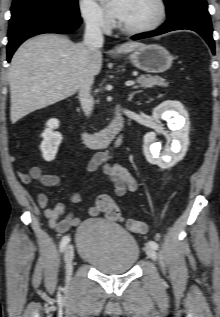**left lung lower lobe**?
Returning <instances> with one entry per match:
<instances>
[{
    "label": "left lung lower lobe",
    "mask_w": 220,
    "mask_h": 317,
    "mask_svg": "<svg viewBox=\"0 0 220 317\" xmlns=\"http://www.w3.org/2000/svg\"><path fill=\"white\" fill-rule=\"evenodd\" d=\"M167 21L157 30L133 36L132 39L164 34L169 31L188 29L201 35L215 54L210 15L205 0H183L172 13H167Z\"/></svg>",
    "instance_id": "left-lung-lower-lobe-1"
}]
</instances>
